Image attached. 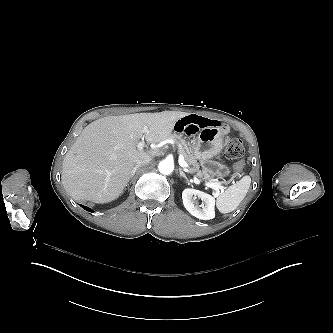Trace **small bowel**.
Listing matches in <instances>:
<instances>
[{
    "mask_svg": "<svg viewBox=\"0 0 333 333\" xmlns=\"http://www.w3.org/2000/svg\"><path fill=\"white\" fill-rule=\"evenodd\" d=\"M210 126L215 133H219L223 129L221 123L214 122L206 117L195 114L187 115L184 118L180 117L173 122V129L176 132L185 131L192 134H196L200 130Z\"/></svg>",
    "mask_w": 333,
    "mask_h": 333,
    "instance_id": "c3829d8e",
    "label": "small bowel"
}]
</instances>
